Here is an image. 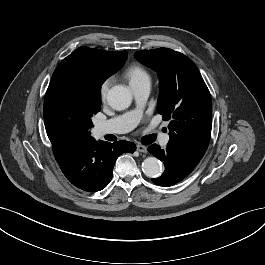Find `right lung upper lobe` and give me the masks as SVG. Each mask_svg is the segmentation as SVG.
I'll use <instances>...</instances> for the list:
<instances>
[{
	"label": "right lung upper lobe",
	"mask_w": 265,
	"mask_h": 265,
	"mask_svg": "<svg viewBox=\"0 0 265 265\" xmlns=\"http://www.w3.org/2000/svg\"><path fill=\"white\" fill-rule=\"evenodd\" d=\"M94 50L98 52L100 55H103L112 60H115L118 66L120 65L123 66L128 56V53L126 51L110 52V51H103V50H98V49H94ZM91 138L93 137H91V134H90L88 136L79 138L71 142H60V141H56L50 138L49 139L51 141V144L53 147V153H54L56 160L58 161V163H62L65 160H67L74 152H76L86 141L90 140Z\"/></svg>",
	"instance_id": "cb5924a9"
}]
</instances>
